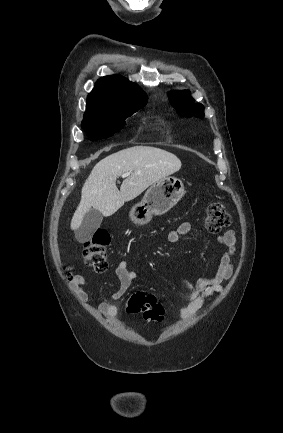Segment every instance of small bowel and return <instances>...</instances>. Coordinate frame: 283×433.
I'll return each instance as SVG.
<instances>
[{
	"mask_svg": "<svg viewBox=\"0 0 283 433\" xmlns=\"http://www.w3.org/2000/svg\"><path fill=\"white\" fill-rule=\"evenodd\" d=\"M192 229L190 222L181 223L175 230L168 234V241L171 243L178 242L184 235ZM217 241L226 248L222 253L216 271L207 277L199 279L196 283H186L188 290V303L177 309L178 317L181 320L191 318L203 305L204 300L223 291V283L230 279L233 274V256L235 254V233L228 230L217 236ZM115 273L119 279L120 285L118 290L113 294V300H120L129 289L132 281L136 278V273L130 267L127 261L122 260L117 264ZM85 278L82 275H75L71 280V287L74 290L78 300L87 303L88 293L84 288ZM99 312L104 316H114L117 314L118 307L113 301L104 300L98 307Z\"/></svg>",
	"mask_w": 283,
	"mask_h": 433,
	"instance_id": "c3829d8e",
	"label": "small bowel"
}]
</instances>
